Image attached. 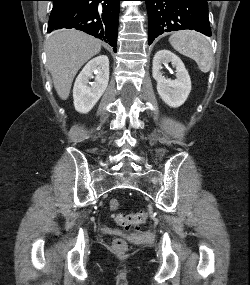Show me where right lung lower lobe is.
I'll list each match as a JSON object with an SVG mask.
<instances>
[{"mask_svg": "<svg viewBox=\"0 0 250 285\" xmlns=\"http://www.w3.org/2000/svg\"><path fill=\"white\" fill-rule=\"evenodd\" d=\"M48 32L76 28L108 42L116 52L121 0H52Z\"/></svg>", "mask_w": 250, "mask_h": 285, "instance_id": "right-lung-lower-lobe-1", "label": "right lung lower lobe"}]
</instances>
